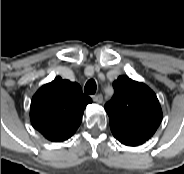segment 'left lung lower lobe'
Masks as SVG:
<instances>
[{
    "mask_svg": "<svg viewBox=\"0 0 184 174\" xmlns=\"http://www.w3.org/2000/svg\"><path fill=\"white\" fill-rule=\"evenodd\" d=\"M112 134L118 141H120L122 144H125L127 146H137V145L143 144L145 142V141H142L139 139L131 138V137L117 134L114 132H112Z\"/></svg>",
    "mask_w": 184,
    "mask_h": 174,
    "instance_id": "0a47b994",
    "label": "left lung lower lobe"
}]
</instances>
